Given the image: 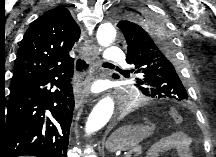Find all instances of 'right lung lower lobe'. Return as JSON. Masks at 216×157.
Instances as JSON below:
<instances>
[{"label": "right lung lower lobe", "mask_w": 216, "mask_h": 157, "mask_svg": "<svg viewBox=\"0 0 216 157\" xmlns=\"http://www.w3.org/2000/svg\"><path fill=\"white\" fill-rule=\"evenodd\" d=\"M73 72L74 62L62 64L10 89L0 110V157H67Z\"/></svg>", "instance_id": "obj_1"}]
</instances>
